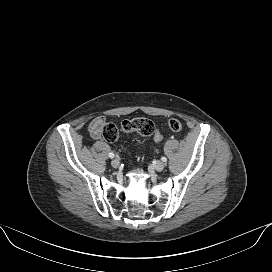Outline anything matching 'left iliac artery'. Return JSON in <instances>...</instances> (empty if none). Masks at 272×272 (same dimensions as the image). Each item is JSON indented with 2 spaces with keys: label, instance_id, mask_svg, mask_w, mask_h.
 <instances>
[{
  "label": "left iliac artery",
  "instance_id": "obj_1",
  "mask_svg": "<svg viewBox=\"0 0 272 272\" xmlns=\"http://www.w3.org/2000/svg\"><path fill=\"white\" fill-rule=\"evenodd\" d=\"M161 160H162L163 162H167V158H166V157H162Z\"/></svg>",
  "mask_w": 272,
  "mask_h": 272
}]
</instances>
